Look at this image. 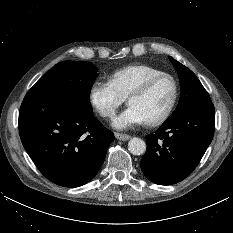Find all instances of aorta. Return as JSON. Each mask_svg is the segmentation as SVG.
I'll return each instance as SVG.
<instances>
[{"label": "aorta", "instance_id": "obj_1", "mask_svg": "<svg viewBox=\"0 0 233 233\" xmlns=\"http://www.w3.org/2000/svg\"><path fill=\"white\" fill-rule=\"evenodd\" d=\"M128 149L133 155H141L146 152V143L143 139L134 137L129 141Z\"/></svg>", "mask_w": 233, "mask_h": 233}]
</instances>
